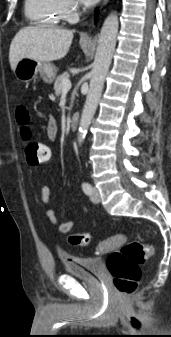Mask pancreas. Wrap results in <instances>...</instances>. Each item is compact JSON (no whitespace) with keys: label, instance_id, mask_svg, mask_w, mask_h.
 Instances as JSON below:
<instances>
[{"label":"pancreas","instance_id":"cf45deb5","mask_svg":"<svg viewBox=\"0 0 171 337\" xmlns=\"http://www.w3.org/2000/svg\"><path fill=\"white\" fill-rule=\"evenodd\" d=\"M69 78V74L67 72H64L63 74L59 75L56 78V81L54 83V90H55V95L58 97L62 93V81L64 79Z\"/></svg>","mask_w":171,"mask_h":337}]
</instances>
